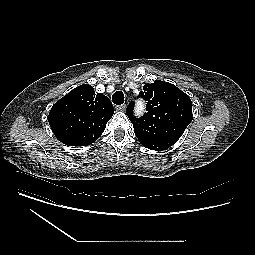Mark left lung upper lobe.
Returning <instances> with one entry per match:
<instances>
[{
	"label": "left lung upper lobe",
	"mask_w": 255,
	"mask_h": 255,
	"mask_svg": "<svg viewBox=\"0 0 255 255\" xmlns=\"http://www.w3.org/2000/svg\"><path fill=\"white\" fill-rule=\"evenodd\" d=\"M138 97L147 101V112L136 118L133 115L135 102H131L126 113L140 143L176 142L193 119L191 99L171 83L156 80L145 84Z\"/></svg>",
	"instance_id": "obj_1"
}]
</instances>
